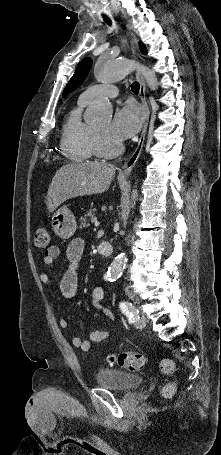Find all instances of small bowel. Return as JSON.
<instances>
[{
	"instance_id": "obj_1",
	"label": "small bowel",
	"mask_w": 221,
	"mask_h": 455,
	"mask_svg": "<svg viewBox=\"0 0 221 455\" xmlns=\"http://www.w3.org/2000/svg\"><path fill=\"white\" fill-rule=\"evenodd\" d=\"M85 249V244L83 240L77 238L70 242L66 249V259L68 261V268L65 272L61 282H60V292L62 296L66 299H73L77 293L78 287V267L82 259ZM61 254V250L52 246L47 250L42 258V262L45 266L49 267L53 264L54 260L57 259ZM39 280L43 285L49 286L50 279L48 274L45 271L39 272ZM103 298V289L100 286H97L92 291L91 295V305L96 309L101 311L109 320H114L113 312L103 307L102 304ZM59 326L63 329L67 328V320L63 317L58 318ZM109 337V332L105 330L93 331L90 335V339H82L80 337H73L72 343L75 347L81 349L82 351H89L91 344L93 342H101Z\"/></svg>"
}]
</instances>
